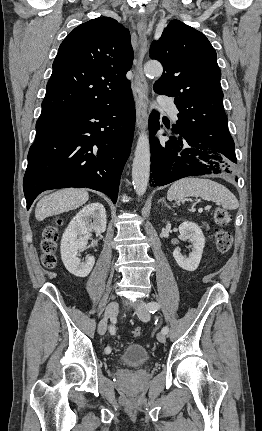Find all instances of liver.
Wrapping results in <instances>:
<instances>
[{
    "label": "liver",
    "mask_w": 262,
    "mask_h": 431,
    "mask_svg": "<svg viewBox=\"0 0 262 431\" xmlns=\"http://www.w3.org/2000/svg\"><path fill=\"white\" fill-rule=\"evenodd\" d=\"M89 199V194L83 189H63L44 196L36 205L35 217L42 221L47 217L74 210Z\"/></svg>",
    "instance_id": "1"
}]
</instances>
